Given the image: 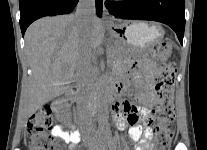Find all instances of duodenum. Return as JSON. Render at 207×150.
Here are the masks:
<instances>
[{"label": "duodenum", "instance_id": "duodenum-1", "mask_svg": "<svg viewBox=\"0 0 207 150\" xmlns=\"http://www.w3.org/2000/svg\"><path fill=\"white\" fill-rule=\"evenodd\" d=\"M80 87L78 85H74L72 86V88L70 89L68 95L70 98H74L75 96H77L80 93ZM115 91V86L112 83H105L103 85H101L96 93L95 96L97 97H107L109 96L110 98H112V94Z\"/></svg>", "mask_w": 207, "mask_h": 150}]
</instances>
